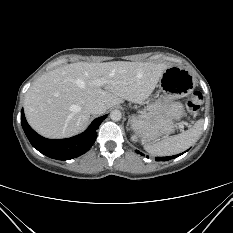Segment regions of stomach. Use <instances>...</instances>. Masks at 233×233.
I'll return each instance as SVG.
<instances>
[{"label": "stomach", "mask_w": 233, "mask_h": 233, "mask_svg": "<svg viewBox=\"0 0 233 233\" xmlns=\"http://www.w3.org/2000/svg\"><path fill=\"white\" fill-rule=\"evenodd\" d=\"M159 87L162 98L140 115L132 116L133 128L148 141H155L175 131L177 122L186 113L183 105L174 100L190 94L195 87V79L187 69L169 66L159 80Z\"/></svg>", "instance_id": "stomach-1"}]
</instances>
